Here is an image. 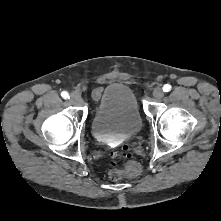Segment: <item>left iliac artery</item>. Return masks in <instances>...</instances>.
<instances>
[{
    "mask_svg": "<svg viewBox=\"0 0 221 221\" xmlns=\"http://www.w3.org/2000/svg\"><path fill=\"white\" fill-rule=\"evenodd\" d=\"M170 89H171V86L168 84L164 85V87H163L164 92H168V91H170Z\"/></svg>",
    "mask_w": 221,
    "mask_h": 221,
    "instance_id": "1",
    "label": "left iliac artery"
}]
</instances>
